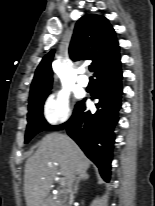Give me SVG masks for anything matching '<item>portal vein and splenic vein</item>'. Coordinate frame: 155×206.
I'll use <instances>...</instances> for the list:
<instances>
[{
  "label": "portal vein and splenic vein",
  "instance_id": "18ae733b",
  "mask_svg": "<svg viewBox=\"0 0 155 206\" xmlns=\"http://www.w3.org/2000/svg\"><path fill=\"white\" fill-rule=\"evenodd\" d=\"M61 186H65V179L64 178L61 179Z\"/></svg>",
  "mask_w": 155,
  "mask_h": 206
}]
</instances>
